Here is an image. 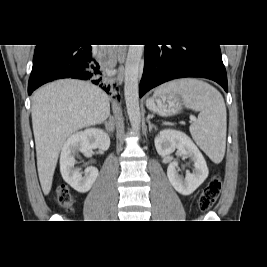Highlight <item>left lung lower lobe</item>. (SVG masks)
<instances>
[{"label":"left lung lower lobe","mask_w":267,"mask_h":267,"mask_svg":"<svg viewBox=\"0 0 267 267\" xmlns=\"http://www.w3.org/2000/svg\"><path fill=\"white\" fill-rule=\"evenodd\" d=\"M203 77L228 92L226 70L219 45H145V63L139 96L169 80Z\"/></svg>","instance_id":"obj_1"}]
</instances>
